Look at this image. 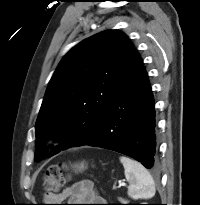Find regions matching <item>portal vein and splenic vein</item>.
Masks as SVG:
<instances>
[{
    "instance_id": "obj_1",
    "label": "portal vein and splenic vein",
    "mask_w": 200,
    "mask_h": 205,
    "mask_svg": "<svg viewBox=\"0 0 200 205\" xmlns=\"http://www.w3.org/2000/svg\"><path fill=\"white\" fill-rule=\"evenodd\" d=\"M121 186H126V183L125 182H119V187Z\"/></svg>"
}]
</instances>
